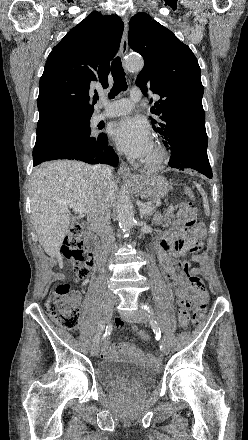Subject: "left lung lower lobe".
<instances>
[{
  "mask_svg": "<svg viewBox=\"0 0 248 440\" xmlns=\"http://www.w3.org/2000/svg\"><path fill=\"white\" fill-rule=\"evenodd\" d=\"M171 150V160L169 165L177 169H193L212 178V170L209 164L207 149L196 148L187 145H179Z\"/></svg>",
  "mask_w": 248,
  "mask_h": 440,
  "instance_id": "0a47b994",
  "label": "left lung lower lobe"
}]
</instances>
